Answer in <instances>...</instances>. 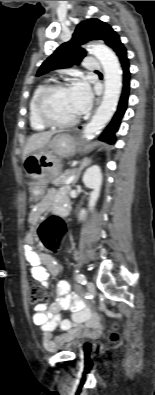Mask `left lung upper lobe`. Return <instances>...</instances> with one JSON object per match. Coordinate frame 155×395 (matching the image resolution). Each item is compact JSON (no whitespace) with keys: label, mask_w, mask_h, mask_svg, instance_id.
I'll return each instance as SVG.
<instances>
[{"label":"left lung upper lobe","mask_w":155,"mask_h":395,"mask_svg":"<svg viewBox=\"0 0 155 395\" xmlns=\"http://www.w3.org/2000/svg\"><path fill=\"white\" fill-rule=\"evenodd\" d=\"M89 40H103L118 57L127 53L119 35L112 27L99 19L92 18L77 25L72 39L63 43L43 62L37 75H43L54 69L67 68L72 64H79L86 55V51L81 48V45Z\"/></svg>","instance_id":"1"}]
</instances>
